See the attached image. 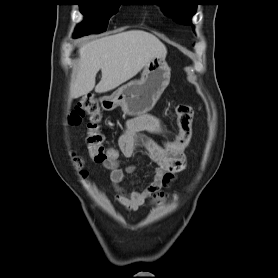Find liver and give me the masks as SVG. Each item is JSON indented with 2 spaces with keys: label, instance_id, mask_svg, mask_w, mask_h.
Returning <instances> with one entry per match:
<instances>
[{
  "label": "liver",
  "instance_id": "liver-1",
  "mask_svg": "<svg viewBox=\"0 0 278 278\" xmlns=\"http://www.w3.org/2000/svg\"><path fill=\"white\" fill-rule=\"evenodd\" d=\"M79 65L70 86V98H79L95 88L105 93L137 75L154 57H165V45L142 30L121 32L90 41L79 48ZM101 70L102 78L95 86Z\"/></svg>",
  "mask_w": 278,
  "mask_h": 278
}]
</instances>
